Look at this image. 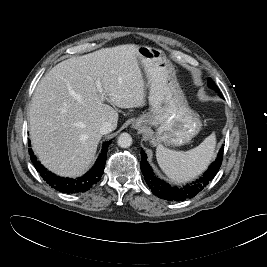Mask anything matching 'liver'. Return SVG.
Segmentation results:
<instances>
[{
	"label": "liver",
	"instance_id": "1",
	"mask_svg": "<svg viewBox=\"0 0 267 267\" xmlns=\"http://www.w3.org/2000/svg\"><path fill=\"white\" fill-rule=\"evenodd\" d=\"M138 46L103 48L54 66L38 83L29 108L33 150L50 171L81 175L94 160L103 122L117 126L119 108L145 105ZM97 81L102 92L98 91Z\"/></svg>",
	"mask_w": 267,
	"mask_h": 267
}]
</instances>
